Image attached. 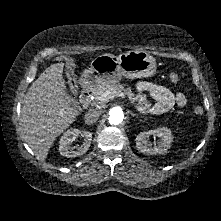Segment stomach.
I'll list each match as a JSON object with an SVG mask.
<instances>
[{
    "mask_svg": "<svg viewBox=\"0 0 221 221\" xmlns=\"http://www.w3.org/2000/svg\"><path fill=\"white\" fill-rule=\"evenodd\" d=\"M156 72V61L145 51H128L119 56L102 54L92 60L80 83L84 87H100L126 78H147Z\"/></svg>",
    "mask_w": 221,
    "mask_h": 221,
    "instance_id": "stomach-1",
    "label": "stomach"
}]
</instances>
